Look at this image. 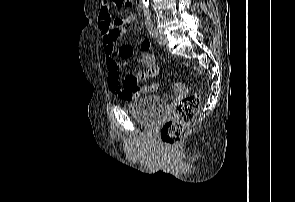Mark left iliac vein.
<instances>
[{
  "label": "left iliac vein",
  "mask_w": 295,
  "mask_h": 202,
  "mask_svg": "<svg viewBox=\"0 0 295 202\" xmlns=\"http://www.w3.org/2000/svg\"><path fill=\"white\" fill-rule=\"evenodd\" d=\"M156 40L160 45H165L167 42L166 36L158 30H156Z\"/></svg>",
  "instance_id": "left-iliac-vein-1"
}]
</instances>
